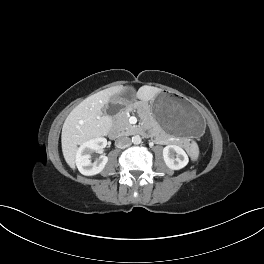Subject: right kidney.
<instances>
[{"label": "right kidney", "mask_w": 264, "mask_h": 264, "mask_svg": "<svg viewBox=\"0 0 264 264\" xmlns=\"http://www.w3.org/2000/svg\"><path fill=\"white\" fill-rule=\"evenodd\" d=\"M107 145L105 138L90 139L81 144L76 152V166L79 172L85 176H93L100 173L108 162V157L101 155L95 162H91V154Z\"/></svg>", "instance_id": "ca27d5eb"}]
</instances>
